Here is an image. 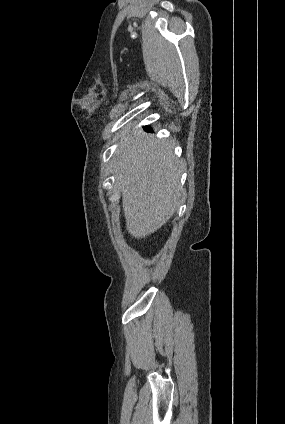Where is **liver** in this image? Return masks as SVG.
<instances>
[{
  "label": "liver",
  "instance_id": "6515ba94",
  "mask_svg": "<svg viewBox=\"0 0 285 424\" xmlns=\"http://www.w3.org/2000/svg\"><path fill=\"white\" fill-rule=\"evenodd\" d=\"M113 173L122 192V205L128 232L146 237L161 228L176 211L182 187V170L169 139H155L142 130L120 135Z\"/></svg>",
  "mask_w": 285,
  "mask_h": 424
}]
</instances>
